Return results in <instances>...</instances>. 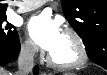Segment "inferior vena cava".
<instances>
[{
  "label": "inferior vena cava",
  "mask_w": 107,
  "mask_h": 75,
  "mask_svg": "<svg viewBox=\"0 0 107 75\" xmlns=\"http://www.w3.org/2000/svg\"><path fill=\"white\" fill-rule=\"evenodd\" d=\"M37 47L34 43L29 42L21 47L18 56V71L15 75H29L34 65V55Z\"/></svg>",
  "instance_id": "1"
}]
</instances>
